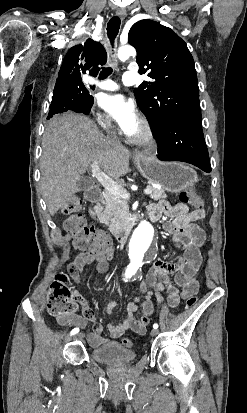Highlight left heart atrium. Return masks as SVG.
<instances>
[{
  "mask_svg": "<svg viewBox=\"0 0 247 413\" xmlns=\"http://www.w3.org/2000/svg\"><path fill=\"white\" fill-rule=\"evenodd\" d=\"M100 103L117 120L121 131L126 136L132 137L141 126L142 120L136 106L123 95H103Z\"/></svg>",
  "mask_w": 247,
  "mask_h": 413,
  "instance_id": "39dd6f15",
  "label": "left heart atrium"
}]
</instances>
